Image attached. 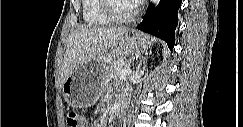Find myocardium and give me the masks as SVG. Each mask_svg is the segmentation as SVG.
<instances>
[{"label": "myocardium", "mask_w": 243, "mask_h": 127, "mask_svg": "<svg viewBox=\"0 0 243 127\" xmlns=\"http://www.w3.org/2000/svg\"><path fill=\"white\" fill-rule=\"evenodd\" d=\"M114 1L115 0L102 1L104 12L111 19L112 22L126 23L134 20L137 17L139 13V7L137 4L132 3L133 9L128 15H120L115 11Z\"/></svg>", "instance_id": "obj_1"}]
</instances>
